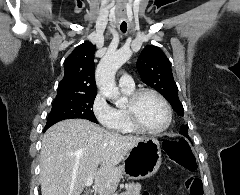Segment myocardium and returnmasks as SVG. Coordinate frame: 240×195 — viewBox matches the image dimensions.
I'll list each match as a JSON object with an SVG mask.
<instances>
[{
  "instance_id": "f54148a6",
  "label": "myocardium",
  "mask_w": 240,
  "mask_h": 195,
  "mask_svg": "<svg viewBox=\"0 0 240 195\" xmlns=\"http://www.w3.org/2000/svg\"><path fill=\"white\" fill-rule=\"evenodd\" d=\"M146 94H151L155 96L163 106L164 109V122L163 124L156 129H149L143 125L139 116V104L142 97ZM126 110L130 119L132 126L140 133L148 135H158L164 132L170 125L172 119V112L169 103L165 97L158 91L150 88H142L136 91L127 101Z\"/></svg>"
}]
</instances>
